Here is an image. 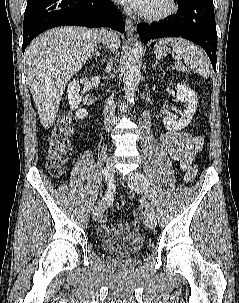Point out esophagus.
Here are the masks:
<instances>
[{"mask_svg": "<svg viewBox=\"0 0 239 303\" xmlns=\"http://www.w3.org/2000/svg\"><path fill=\"white\" fill-rule=\"evenodd\" d=\"M125 31H126L127 36H130V37L133 36V33L135 31L134 23L129 18L125 19Z\"/></svg>", "mask_w": 239, "mask_h": 303, "instance_id": "1", "label": "esophagus"}]
</instances>
